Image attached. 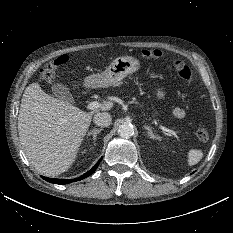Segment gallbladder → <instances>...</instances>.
<instances>
[{"instance_id":"bac80fb5","label":"gallbladder","mask_w":233,"mask_h":233,"mask_svg":"<svg viewBox=\"0 0 233 233\" xmlns=\"http://www.w3.org/2000/svg\"><path fill=\"white\" fill-rule=\"evenodd\" d=\"M52 93L55 97L58 99L67 102V103H74V99L72 97V94L69 92V90L60 84H54L52 86Z\"/></svg>"}]
</instances>
